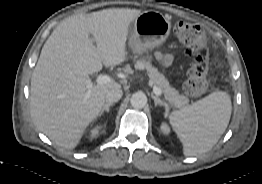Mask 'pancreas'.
Listing matches in <instances>:
<instances>
[{"mask_svg": "<svg viewBox=\"0 0 262 184\" xmlns=\"http://www.w3.org/2000/svg\"><path fill=\"white\" fill-rule=\"evenodd\" d=\"M136 65L140 69L146 70L154 86L158 87L162 91L165 99L170 103V105L175 107H183L188 104V98L184 95H180L175 88L171 87L164 75L161 74L155 67H153L150 61L141 59L137 61Z\"/></svg>", "mask_w": 262, "mask_h": 184, "instance_id": "pancreas-1", "label": "pancreas"}]
</instances>
